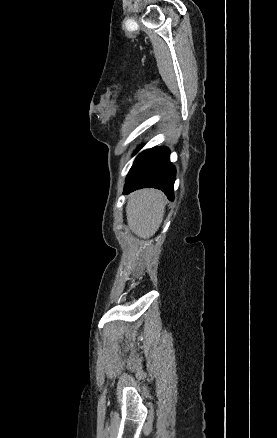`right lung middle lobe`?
Listing matches in <instances>:
<instances>
[{"label":"right lung middle lobe","instance_id":"right-lung-middle-lobe-1","mask_svg":"<svg viewBox=\"0 0 277 438\" xmlns=\"http://www.w3.org/2000/svg\"><path fill=\"white\" fill-rule=\"evenodd\" d=\"M141 154H142V153H141ZM141 154H140V155H141ZM140 155L137 157V159L140 157ZM137 159H136V160H137Z\"/></svg>","mask_w":277,"mask_h":438}]
</instances>
